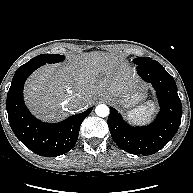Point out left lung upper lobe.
<instances>
[{
	"label": "left lung upper lobe",
	"instance_id": "obj_1",
	"mask_svg": "<svg viewBox=\"0 0 193 193\" xmlns=\"http://www.w3.org/2000/svg\"><path fill=\"white\" fill-rule=\"evenodd\" d=\"M152 61H155V60H152L151 58H148V57H138V58H135L133 60V62L139 66V65H144V64H147V63H150Z\"/></svg>",
	"mask_w": 193,
	"mask_h": 193
}]
</instances>
